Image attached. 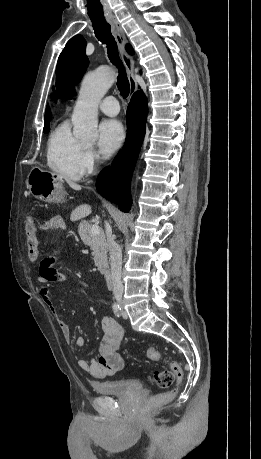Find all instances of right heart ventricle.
<instances>
[{
	"label": "right heart ventricle",
	"mask_w": 261,
	"mask_h": 459,
	"mask_svg": "<svg viewBox=\"0 0 261 459\" xmlns=\"http://www.w3.org/2000/svg\"><path fill=\"white\" fill-rule=\"evenodd\" d=\"M83 148L82 142L72 134L69 123L62 122L48 137V167L66 179L78 180L82 176L80 158Z\"/></svg>",
	"instance_id": "obj_1"
}]
</instances>
